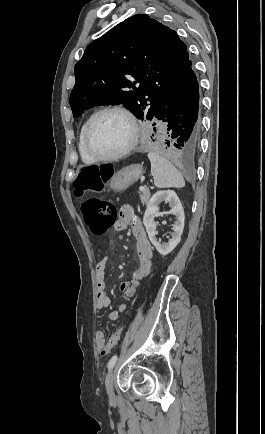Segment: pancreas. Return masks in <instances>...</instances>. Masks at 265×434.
Masks as SVG:
<instances>
[{
	"instance_id": "pancreas-1",
	"label": "pancreas",
	"mask_w": 265,
	"mask_h": 434,
	"mask_svg": "<svg viewBox=\"0 0 265 434\" xmlns=\"http://www.w3.org/2000/svg\"><path fill=\"white\" fill-rule=\"evenodd\" d=\"M144 190L140 194V200L142 204H148L149 198L151 196L149 188L147 186H143Z\"/></svg>"
}]
</instances>
